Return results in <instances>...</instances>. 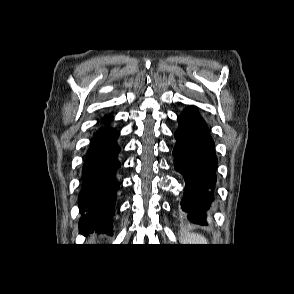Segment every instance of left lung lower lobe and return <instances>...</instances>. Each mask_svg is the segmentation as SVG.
I'll return each mask as SVG.
<instances>
[{
  "label": "left lung lower lobe",
  "mask_w": 294,
  "mask_h": 294,
  "mask_svg": "<svg viewBox=\"0 0 294 294\" xmlns=\"http://www.w3.org/2000/svg\"><path fill=\"white\" fill-rule=\"evenodd\" d=\"M178 122L173 155L175 170L186 183L181 207L190 222L207 225L206 211L213 201L212 190L217 179L214 142L195 107L185 110Z\"/></svg>",
  "instance_id": "1"
}]
</instances>
